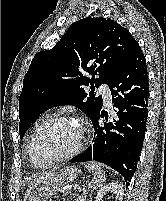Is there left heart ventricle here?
Instances as JSON below:
<instances>
[{
    "label": "left heart ventricle",
    "mask_w": 166,
    "mask_h": 201,
    "mask_svg": "<svg viewBox=\"0 0 166 201\" xmlns=\"http://www.w3.org/2000/svg\"><path fill=\"white\" fill-rule=\"evenodd\" d=\"M81 127L73 121H56L45 125L38 133L33 155L38 164L65 155L78 145Z\"/></svg>",
    "instance_id": "left-heart-ventricle-1"
}]
</instances>
